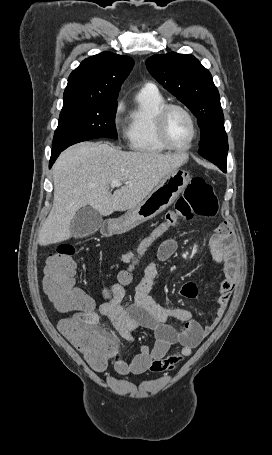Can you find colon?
Instances as JSON below:
<instances>
[{"mask_svg":"<svg viewBox=\"0 0 272 455\" xmlns=\"http://www.w3.org/2000/svg\"><path fill=\"white\" fill-rule=\"evenodd\" d=\"M218 211V200L211 185L202 177H194L180 197L175 208L165 214L164 220L148 236L143 238L133 258L117 273V280L130 284L133 272L145 251L166 231L181 222L195 218L213 217ZM75 248L71 244L60 245L51 253L44 268L43 289L56 309L65 316L59 322L64 336L84 355L95 370L104 369L115 354V340L96 328L97 316L93 312V300L75 285Z\"/></svg>","mask_w":272,"mask_h":455,"instance_id":"5ec220e1","label":"colon"}]
</instances>
